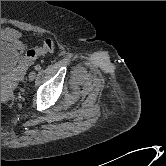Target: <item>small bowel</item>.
Instances as JSON below:
<instances>
[{
    "instance_id": "obj_1",
    "label": "small bowel",
    "mask_w": 166,
    "mask_h": 166,
    "mask_svg": "<svg viewBox=\"0 0 166 166\" xmlns=\"http://www.w3.org/2000/svg\"><path fill=\"white\" fill-rule=\"evenodd\" d=\"M1 40L12 42L14 47L19 51H23L25 49V43L23 42L21 34L12 28H1Z\"/></svg>"
}]
</instances>
